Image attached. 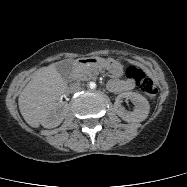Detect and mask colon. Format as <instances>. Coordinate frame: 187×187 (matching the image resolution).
Returning a JSON list of instances; mask_svg holds the SVG:
<instances>
[{
  "label": "colon",
  "instance_id": "obj_1",
  "mask_svg": "<svg viewBox=\"0 0 187 187\" xmlns=\"http://www.w3.org/2000/svg\"><path fill=\"white\" fill-rule=\"evenodd\" d=\"M126 75L129 79L133 80L136 83L142 93L150 98H154L156 96L157 87L155 83L145 74L142 69L130 65L126 69Z\"/></svg>",
  "mask_w": 187,
  "mask_h": 187
}]
</instances>
